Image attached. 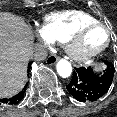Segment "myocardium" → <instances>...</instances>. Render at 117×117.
I'll list each match as a JSON object with an SVG mask.
<instances>
[{
    "mask_svg": "<svg viewBox=\"0 0 117 117\" xmlns=\"http://www.w3.org/2000/svg\"><path fill=\"white\" fill-rule=\"evenodd\" d=\"M96 27H100L106 30L107 38L105 43L101 47L93 50L86 51V50L80 49L78 44L81 38L83 37V35L90 29L96 28ZM111 41H112L111 28L103 22L96 21V22L87 23L82 27H80L77 31H75L66 41V50L69 56L73 60L79 61V62H85L96 57L103 51H105L109 47Z\"/></svg>",
    "mask_w": 117,
    "mask_h": 117,
    "instance_id": "myocardium-1",
    "label": "myocardium"
}]
</instances>
